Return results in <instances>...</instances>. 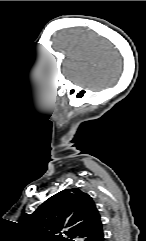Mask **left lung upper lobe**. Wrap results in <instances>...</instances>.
Listing matches in <instances>:
<instances>
[{"label": "left lung upper lobe", "mask_w": 146, "mask_h": 241, "mask_svg": "<svg viewBox=\"0 0 146 241\" xmlns=\"http://www.w3.org/2000/svg\"><path fill=\"white\" fill-rule=\"evenodd\" d=\"M100 220L92 198L78 188L51 196L35 212L22 219L36 241H73ZM62 234L71 237L65 238Z\"/></svg>", "instance_id": "1"}]
</instances>
